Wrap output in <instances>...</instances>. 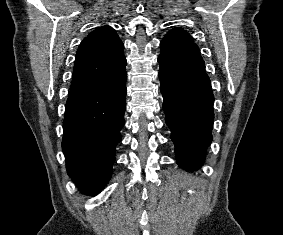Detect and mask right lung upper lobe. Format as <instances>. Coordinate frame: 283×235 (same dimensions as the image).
Segmentation results:
<instances>
[{
	"label": "right lung upper lobe",
	"instance_id": "obj_1",
	"mask_svg": "<svg viewBox=\"0 0 283 235\" xmlns=\"http://www.w3.org/2000/svg\"><path fill=\"white\" fill-rule=\"evenodd\" d=\"M123 48L113 28L103 26L92 31L77 50L71 88L101 81L125 70Z\"/></svg>",
	"mask_w": 283,
	"mask_h": 235
}]
</instances>
